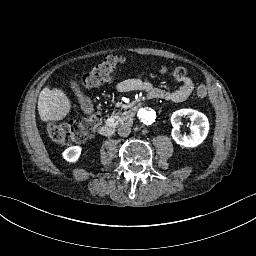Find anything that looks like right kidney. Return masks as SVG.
Listing matches in <instances>:
<instances>
[{"label":"right kidney","instance_id":"obj_1","mask_svg":"<svg viewBox=\"0 0 256 256\" xmlns=\"http://www.w3.org/2000/svg\"><path fill=\"white\" fill-rule=\"evenodd\" d=\"M82 153L81 146H71L62 152V158L68 163H77Z\"/></svg>","mask_w":256,"mask_h":256}]
</instances>
